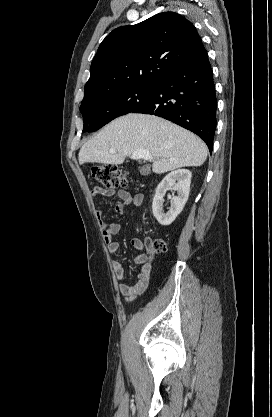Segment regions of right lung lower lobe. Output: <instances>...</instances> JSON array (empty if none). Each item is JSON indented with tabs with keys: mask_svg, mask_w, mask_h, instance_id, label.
<instances>
[{
	"mask_svg": "<svg viewBox=\"0 0 272 417\" xmlns=\"http://www.w3.org/2000/svg\"><path fill=\"white\" fill-rule=\"evenodd\" d=\"M216 109L212 69L203 49L156 83L152 97L132 112L160 116L194 132L211 152Z\"/></svg>",
	"mask_w": 272,
	"mask_h": 417,
	"instance_id": "1",
	"label": "right lung lower lobe"
}]
</instances>
